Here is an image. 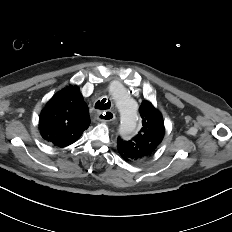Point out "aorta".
Returning a JSON list of instances; mask_svg holds the SVG:
<instances>
[{"label":"aorta","mask_w":232,"mask_h":232,"mask_svg":"<svg viewBox=\"0 0 232 232\" xmlns=\"http://www.w3.org/2000/svg\"><path fill=\"white\" fill-rule=\"evenodd\" d=\"M111 96L120 114V133L125 136L132 135L138 127L137 105L125 95L122 87L111 90Z\"/></svg>","instance_id":"aorta-1"}]
</instances>
